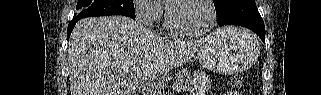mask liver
Segmentation results:
<instances>
[{
	"mask_svg": "<svg viewBox=\"0 0 321 95\" xmlns=\"http://www.w3.org/2000/svg\"><path fill=\"white\" fill-rule=\"evenodd\" d=\"M205 40H168L125 16L80 20L70 36L71 95H134L193 58Z\"/></svg>",
	"mask_w": 321,
	"mask_h": 95,
	"instance_id": "1",
	"label": "liver"
}]
</instances>
